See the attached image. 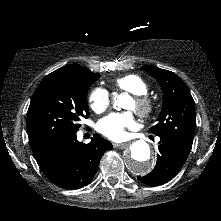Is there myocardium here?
Wrapping results in <instances>:
<instances>
[{
	"mask_svg": "<svg viewBox=\"0 0 221 221\" xmlns=\"http://www.w3.org/2000/svg\"><path fill=\"white\" fill-rule=\"evenodd\" d=\"M134 110L142 118H147L154 110L153 101L146 95H134Z\"/></svg>",
	"mask_w": 221,
	"mask_h": 221,
	"instance_id": "f54148a6",
	"label": "myocardium"
}]
</instances>
